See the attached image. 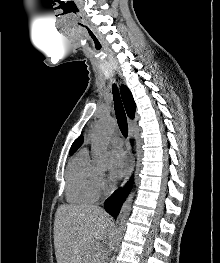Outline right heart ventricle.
<instances>
[{"instance_id": "obj_1", "label": "right heart ventricle", "mask_w": 220, "mask_h": 263, "mask_svg": "<svg viewBox=\"0 0 220 263\" xmlns=\"http://www.w3.org/2000/svg\"><path fill=\"white\" fill-rule=\"evenodd\" d=\"M98 172L90 163L86 150L70 161L66 175V198L74 204L95 202L99 197Z\"/></svg>"}]
</instances>
